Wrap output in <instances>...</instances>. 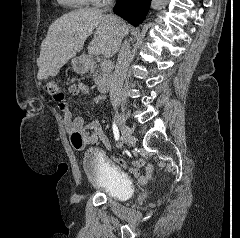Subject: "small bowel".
Returning a JSON list of instances; mask_svg holds the SVG:
<instances>
[{
    "label": "small bowel",
    "mask_w": 240,
    "mask_h": 238,
    "mask_svg": "<svg viewBox=\"0 0 240 238\" xmlns=\"http://www.w3.org/2000/svg\"><path fill=\"white\" fill-rule=\"evenodd\" d=\"M69 92L74 96H78L80 94H88L90 92V88L87 85L78 82L70 85ZM103 100H105V96L98 95L93 99V105L97 106ZM58 106L62 112L63 123L67 132L71 136H73L76 133H79L83 137V142L81 145H76L73 143L77 149H81L84 145L87 144L96 143L99 140V143H103V146H109L108 147L109 151L113 150V147L110 146V141H108V138H106L104 134L101 121L99 118H93L91 121L85 122V120L82 117L79 116L73 117L71 109L66 102L59 101ZM95 145L97 146L98 144L96 143ZM112 158L115 159L116 166H121V168L124 171L126 170L125 169L126 166H129L130 164L129 161H123L124 160L123 157H117L116 154H113ZM140 163L141 162L135 164L134 167L130 168V171L133 175L140 174V171L138 170L141 167ZM151 174L152 166L148 165L147 174L139 175L138 184H141V187H152V182H147L151 178Z\"/></svg>",
    "instance_id": "small-bowel-1"
}]
</instances>
